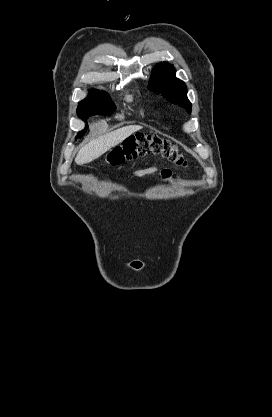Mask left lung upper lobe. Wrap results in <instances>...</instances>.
Here are the masks:
<instances>
[{
	"mask_svg": "<svg viewBox=\"0 0 272 417\" xmlns=\"http://www.w3.org/2000/svg\"><path fill=\"white\" fill-rule=\"evenodd\" d=\"M175 72L173 65L165 62L160 63L152 73L148 88L157 94L161 93L168 101L185 108L188 113H191V103L186 96V85L175 77Z\"/></svg>",
	"mask_w": 272,
	"mask_h": 417,
	"instance_id": "left-lung-upper-lobe-1",
	"label": "left lung upper lobe"
}]
</instances>
